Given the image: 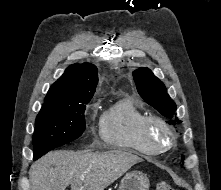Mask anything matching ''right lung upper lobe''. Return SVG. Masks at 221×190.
<instances>
[{
  "instance_id": "right-lung-upper-lobe-1",
  "label": "right lung upper lobe",
  "mask_w": 221,
  "mask_h": 190,
  "mask_svg": "<svg viewBox=\"0 0 221 190\" xmlns=\"http://www.w3.org/2000/svg\"><path fill=\"white\" fill-rule=\"evenodd\" d=\"M98 83V70L90 63L72 64L50 87L42 107H68L91 100Z\"/></svg>"
}]
</instances>
